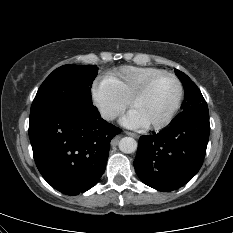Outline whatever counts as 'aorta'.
I'll list each match as a JSON object with an SVG mask.
<instances>
[{
    "label": "aorta",
    "mask_w": 233,
    "mask_h": 233,
    "mask_svg": "<svg viewBox=\"0 0 233 233\" xmlns=\"http://www.w3.org/2000/svg\"><path fill=\"white\" fill-rule=\"evenodd\" d=\"M138 143L137 141L132 137H124L119 142V149L123 153H134L137 150Z\"/></svg>",
    "instance_id": "762f6f07"
}]
</instances>
